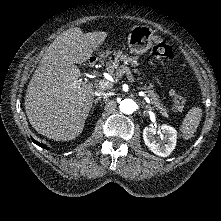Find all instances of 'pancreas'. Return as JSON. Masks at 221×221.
Instances as JSON below:
<instances>
[{
	"label": "pancreas",
	"instance_id": "obj_1",
	"mask_svg": "<svg viewBox=\"0 0 221 221\" xmlns=\"http://www.w3.org/2000/svg\"><path fill=\"white\" fill-rule=\"evenodd\" d=\"M115 58L114 60H110L107 63L106 70L115 78L118 79L122 76L123 72L122 70H125L126 73H129V68L127 65H131L132 67H136L138 65L136 59L134 57H129L122 53V51H118L114 54ZM123 62L124 65L118 66L119 62ZM134 72H138L134 69ZM139 73V72H138ZM131 79L133 80V77L131 76ZM139 80V78H138ZM153 85L150 84L148 87L144 86L143 89H145L146 95L150 98L151 103L156 107L157 110L163 115L168 116V108L163 105V103L159 100L158 94L152 89Z\"/></svg>",
	"mask_w": 221,
	"mask_h": 221
}]
</instances>
